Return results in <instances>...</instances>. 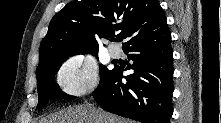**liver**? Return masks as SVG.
<instances>
[{"label": "liver", "mask_w": 221, "mask_h": 123, "mask_svg": "<svg viewBox=\"0 0 221 123\" xmlns=\"http://www.w3.org/2000/svg\"><path fill=\"white\" fill-rule=\"evenodd\" d=\"M42 123H130L91 105L69 107L52 114Z\"/></svg>", "instance_id": "liver-1"}]
</instances>
